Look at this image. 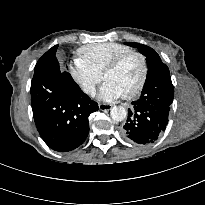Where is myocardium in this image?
<instances>
[{
  "label": "myocardium",
  "instance_id": "obj_1",
  "mask_svg": "<svg viewBox=\"0 0 205 205\" xmlns=\"http://www.w3.org/2000/svg\"><path fill=\"white\" fill-rule=\"evenodd\" d=\"M131 56H135L139 59L140 64H141V75L139 78V81L137 83V85L134 87V89H132L130 92L123 94V97L126 99H131L134 98L135 96H137L144 88L147 78H148V72H149V68H148V62L146 57L136 51V50H129L126 51L124 53L119 54L118 56H116L114 59H112L103 69L102 71V79H105V76L117 69L127 58L131 57Z\"/></svg>",
  "mask_w": 205,
  "mask_h": 205
}]
</instances>
